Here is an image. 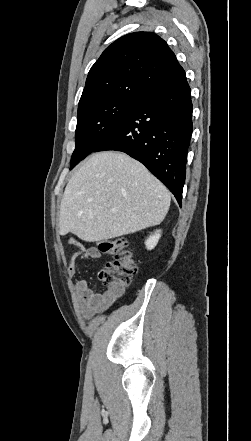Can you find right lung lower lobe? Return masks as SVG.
Segmentation results:
<instances>
[{
    "label": "right lung lower lobe",
    "instance_id": "right-lung-lower-lobe-1",
    "mask_svg": "<svg viewBox=\"0 0 251 441\" xmlns=\"http://www.w3.org/2000/svg\"><path fill=\"white\" fill-rule=\"evenodd\" d=\"M191 90L181 70L154 84L93 150L122 151L144 164L182 204L193 130Z\"/></svg>",
    "mask_w": 251,
    "mask_h": 441
}]
</instances>
